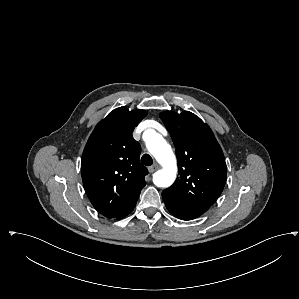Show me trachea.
<instances>
[{
  "mask_svg": "<svg viewBox=\"0 0 299 299\" xmlns=\"http://www.w3.org/2000/svg\"><path fill=\"white\" fill-rule=\"evenodd\" d=\"M141 162L146 166H151L153 164V159L149 154H144L141 157Z\"/></svg>",
  "mask_w": 299,
  "mask_h": 299,
  "instance_id": "trachea-1",
  "label": "trachea"
}]
</instances>
